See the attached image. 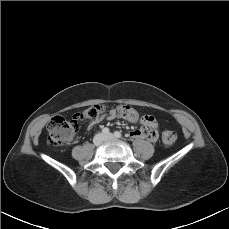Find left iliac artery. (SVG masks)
I'll list each match as a JSON object with an SVG mask.
<instances>
[{
	"mask_svg": "<svg viewBox=\"0 0 229 229\" xmlns=\"http://www.w3.org/2000/svg\"><path fill=\"white\" fill-rule=\"evenodd\" d=\"M114 136L117 137V138H120L122 136V134L119 131H115L114 132Z\"/></svg>",
	"mask_w": 229,
	"mask_h": 229,
	"instance_id": "obj_1",
	"label": "left iliac artery"
}]
</instances>
